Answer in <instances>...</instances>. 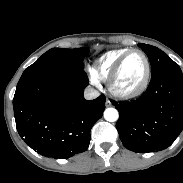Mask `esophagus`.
<instances>
[{"instance_id":"1","label":"esophagus","mask_w":183,"mask_h":183,"mask_svg":"<svg viewBox=\"0 0 183 183\" xmlns=\"http://www.w3.org/2000/svg\"><path fill=\"white\" fill-rule=\"evenodd\" d=\"M105 105H106L107 107H109V106L112 105L111 101H110L108 98L106 99Z\"/></svg>"}]
</instances>
